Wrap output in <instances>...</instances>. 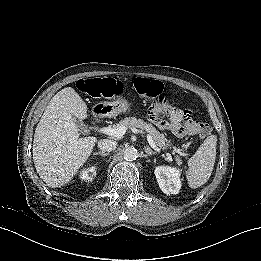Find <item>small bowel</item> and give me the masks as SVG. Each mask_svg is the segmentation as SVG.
Masks as SVG:
<instances>
[{"label":"small bowel","mask_w":261,"mask_h":261,"mask_svg":"<svg viewBox=\"0 0 261 261\" xmlns=\"http://www.w3.org/2000/svg\"><path fill=\"white\" fill-rule=\"evenodd\" d=\"M150 118H151V120H152L153 122L156 123V125H157L159 128L171 130L170 125H169L168 122H166L165 120H161V119H159L158 117L153 116V115L151 114V112H150ZM185 125L188 127V130H189V131H192V130L194 129V126H195V125H194V122H193L191 119H187V120L185 121ZM171 131H172V130H171ZM172 132H173V131H172Z\"/></svg>","instance_id":"c3829d8e"}]
</instances>
